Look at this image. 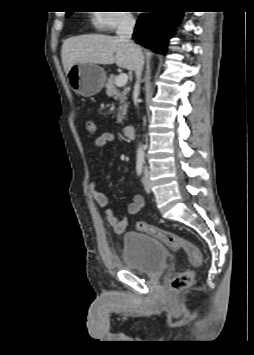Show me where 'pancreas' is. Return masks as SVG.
<instances>
[{"label":"pancreas","mask_w":254,"mask_h":355,"mask_svg":"<svg viewBox=\"0 0 254 355\" xmlns=\"http://www.w3.org/2000/svg\"><path fill=\"white\" fill-rule=\"evenodd\" d=\"M116 75H111L106 83V93L108 96H113L115 100L120 101L119 112L117 115V123H122L127 112V94L129 92L128 88H124L122 92L116 88Z\"/></svg>","instance_id":"pancreas-1"}]
</instances>
